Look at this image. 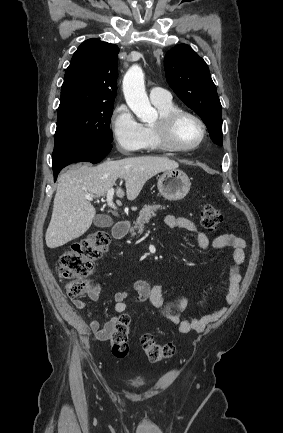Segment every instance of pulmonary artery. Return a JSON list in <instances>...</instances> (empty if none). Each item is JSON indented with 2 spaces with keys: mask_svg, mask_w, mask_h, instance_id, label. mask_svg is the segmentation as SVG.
<instances>
[{
  "mask_svg": "<svg viewBox=\"0 0 283 433\" xmlns=\"http://www.w3.org/2000/svg\"><path fill=\"white\" fill-rule=\"evenodd\" d=\"M149 98L153 104L168 102L172 99L167 90L158 87H152L149 89Z\"/></svg>",
  "mask_w": 283,
  "mask_h": 433,
  "instance_id": "pulmonary-artery-1",
  "label": "pulmonary artery"
}]
</instances>
